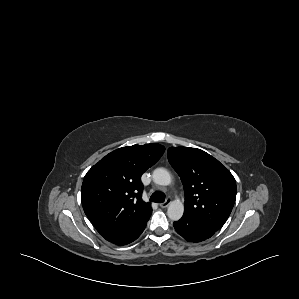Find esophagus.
Wrapping results in <instances>:
<instances>
[{"label": "esophagus", "instance_id": "34e87169", "mask_svg": "<svg viewBox=\"0 0 299 299\" xmlns=\"http://www.w3.org/2000/svg\"><path fill=\"white\" fill-rule=\"evenodd\" d=\"M170 203H171V199L167 198L165 202L160 204V207L161 208H167L170 205Z\"/></svg>", "mask_w": 299, "mask_h": 299}]
</instances>
